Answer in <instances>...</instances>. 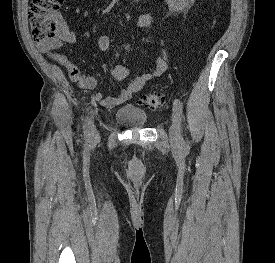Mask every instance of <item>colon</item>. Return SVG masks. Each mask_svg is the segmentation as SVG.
Listing matches in <instances>:
<instances>
[{
	"label": "colon",
	"mask_w": 275,
	"mask_h": 263,
	"mask_svg": "<svg viewBox=\"0 0 275 263\" xmlns=\"http://www.w3.org/2000/svg\"><path fill=\"white\" fill-rule=\"evenodd\" d=\"M63 0H32L30 7V27L34 42L38 45L52 41L60 29L55 12ZM140 102L147 108L156 109L164 105L165 98L159 93L144 94Z\"/></svg>",
	"instance_id": "1"
}]
</instances>
